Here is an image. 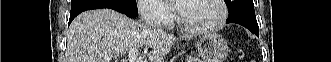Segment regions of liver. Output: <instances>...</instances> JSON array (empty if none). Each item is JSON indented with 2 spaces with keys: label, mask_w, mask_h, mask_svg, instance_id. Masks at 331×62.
I'll return each mask as SVG.
<instances>
[{
  "label": "liver",
  "mask_w": 331,
  "mask_h": 62,
  "mask_svg": "<svg viewBox=\"0 0 331 62\" xmlns=\"http://www.w3.org/2000/svg\"><path fill=\"white\" fill-rule=\"evenodd\" d=\"M193 35L182 39L190 40ZM177 39L110 9L86 11L71 23L66 62H112L131 49H150L149 62H162ZM109 59V60H108Z\"/></svg>",
  "instance_id": "liver-1"
}]
</instances>
